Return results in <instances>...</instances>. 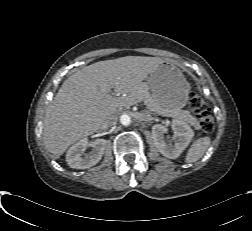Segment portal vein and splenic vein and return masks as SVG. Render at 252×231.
Returning a JSON list of instances; mask_svg holds the SVG:
<instances>
[{"instance_id": "1", "label": "portal vein and splenic vein", "mask_w": 252, "mask_h": 231, "mask_svg": "<svg viewBox=\"0 0 252 231\" xmlns=\"http://www.w3.org/2000/svg\"><path fill=\"white\" fill-rule=\"evenodd\" d=\"M105 101L107 102H120L122 105H124L125 103L131 104L130 100L126 97H119V98H113L110 94H107L105 96Z\"/></svg>"}]
</instances>
